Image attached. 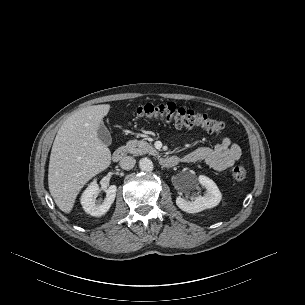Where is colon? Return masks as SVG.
Returning a JSON list of instances; mask_svg holds the SVG:
<instances>
[{
	"mask_svg": "<svg viewBox=\"0 0 305 305\" xmlns=\"http://www.w3.org/2000/svg\"><path fill=\"white\" fill-rule=\"evenodd\" d=\"M136 115L145 120L164 122L176 127H202L209 132L219 133L224 130V122L214 119L205 113L177 106L168 102L163 104H146L136 109ZM246 177L243 165L233 169V178L240 182Z\"/></svg>",
	"mask_w": 305,
	"mask_h": 305,
	"instance_id": "1",
	"label": "colon"
}]
</instances>
